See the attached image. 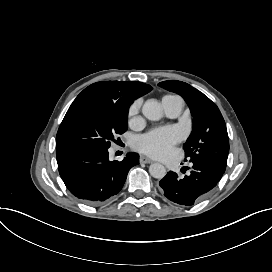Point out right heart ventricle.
<instances>
[{
    "label": "right heart ventricle",
    "mask_w": 272,
    "mask_h": 272,
    "mask_svg": "<svg viewBox=\"0 0 272 272\" xmlns=\"http://www.w3.org/2000/svg\"><path fill=\"white\" fill-rule=\"evenodd\" d=\"M162 109L167 114L166 108L163 104H162ZM177 127H178L177 125H173V126H170V129H172L174 132L177 129Z\"/></svg>",
    "instance_id": "obj_1"
}]
</instances>
